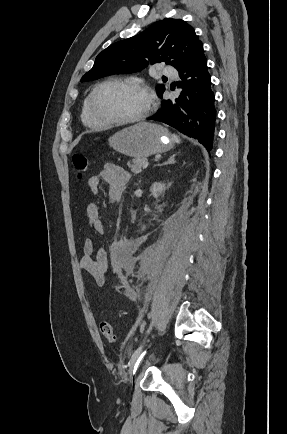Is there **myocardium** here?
Masks as SVG:
<instances>
[{"instance_id": "myocardium-1", "label": "myocardium", "mask_w": 287, "mask_h": 434, "mask_svg": "<svg viewBox=\"0 0 287 434\" xmlns=\"http://www.w3.org/2000/svg\"><path fill=\"white\" fill-rule=\"evenodd\" d=\"M111 84L135 87V88H138V89H141L142 91H144L146 93V95L148 96V100H149L147 108L141 114L134 116V117H131V118H126V119H112V118H107V117L100 115L98 113V111L96 110V107H95V100H96L97 94L99 93V91L102 88H104L107 85H111ZM152 109H153V101L151 99L148 87L145 85V83H143L140 80H136V79L110 78V79L104 80L101 83H99L97 86H95V88L92 90V92L90 93V95L88 97L89 113L101 125L123 126V125H130V124L139 123L149 116Z\"/></svg>"}]
</instances>
